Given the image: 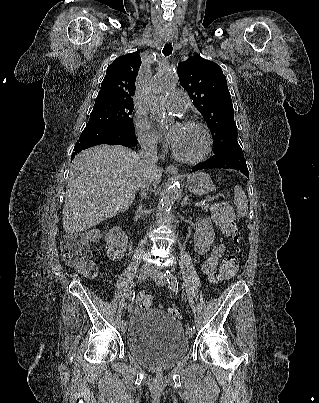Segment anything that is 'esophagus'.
<instances>
[{"label": "esophagus", "instance_id": "obj_1", "mask_svg": "<svg viewBox=\"0 0 319 403\" xmlns=\"http://www.w3.org/2000/svg\"><path fill=\"white\" fill-rule=\"evenodd\" d=\"M167 172L171 173V174H179V170L176 166L174 165H170L166 168Z\"/></svg>", "mask_w": 319, "mask_h": 403}]
</instances>
